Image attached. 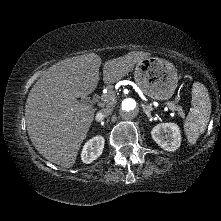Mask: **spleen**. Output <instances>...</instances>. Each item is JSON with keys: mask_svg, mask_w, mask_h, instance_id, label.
Segmentation results:
<instances>
[{"mask_svg": "<svg viewBox=\"0 0 221 221\" xmlns=\"http://www.w3.org/2000/svg\"><path fill=\"white\" fill-rule=\"evenodd\" d=\"M192 108L184 123V131L190 145L205 132L211 113V102L206 87L194 82L192 86Z\"/></svg>", "mask_w": 221, "mask_h": 221, "instance_id": "3e777b00", "label": "spleen"}]
</instances>
